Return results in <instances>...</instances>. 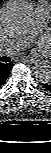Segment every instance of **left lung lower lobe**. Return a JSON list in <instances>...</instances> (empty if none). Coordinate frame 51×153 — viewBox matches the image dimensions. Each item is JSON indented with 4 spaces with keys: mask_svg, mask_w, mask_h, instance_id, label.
Masks as SVG:
<instances>
[{
    "mask_svg": "<svg viewBox=\"0 0 51 153\" xmlns=\"http://www.w3.org/2000/svg\"><path fill=\"white\" fill-rule=\"evenodd\" d=\"M43 86L51 92V83L43 84Z\"/></svg>",
    "mask_w": 51,
    "mask_h": 153,
    "instance_id": "obj_1",
    "label": "left lung lower lobe"
}]
</instances>
